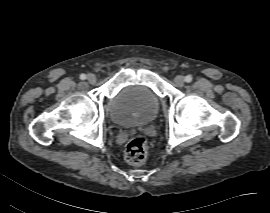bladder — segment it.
<instances>
[{"mask_svg":"<svg viewBox=\"0 0 270 213\" xmlns=\"http://www.w3.org/2000/svg\"><path fill=\"white\" fill-rule=\"evenodd\" d=\"M160 104V97L153 89L142 85L124 86L112 97L108 115L117 125L147 124L156 117Z\"/></svg>","mask_w":270,"mask_h":213,"instance_id":"obj_1","label":"bladder"}]
</instances>
